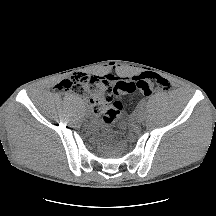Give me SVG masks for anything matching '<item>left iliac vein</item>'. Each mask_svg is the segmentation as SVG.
I'll list each match as a JSON object with an SVG mask.
<instances>
[{
  "mask_svg": "<svg viewBox=\"0 0 216 216\" xmlns=\"http://www.w3.org/2000/svg\"><path fill=\"white\" fill-rule=\"evenodd\" d=\"M135 118L138 122H142L146 118V112L144 109H140L137 114L135 115Z\"/></svg>",
  "mask_w": 216,
  "mask_h": 216,
  "instance_id": "obj_1",
  "label": "left iliac vein"
}]
</instances>
